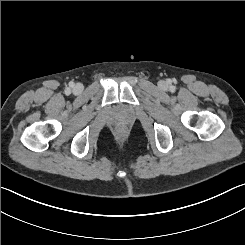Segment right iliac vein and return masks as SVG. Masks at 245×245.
<instances>
[{
	"mask_svg": "<svg viewBox=\"0 0 245 245\" xmlns=\"http://www.w3.org/2000/svg\"><path fill=\"white\" fill-rule=\"evenodd\" d=\"M83 90V85L82 84H76L74 87H73V93L74 94H80Z\"/></svg>",
	"mask_w": 245,
	"mask_h": 245,
	"instance_id": "1",
	"label": "right iliac vein"
}]
</instances>
